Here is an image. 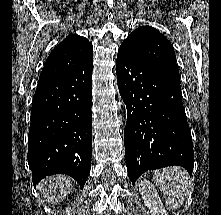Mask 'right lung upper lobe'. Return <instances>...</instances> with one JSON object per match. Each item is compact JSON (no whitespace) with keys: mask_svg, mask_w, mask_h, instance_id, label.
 I'll return each instance as SVG.
<instances>
[{"mask_svg":"<svg viewBox=\"0 0 221 215\" xmlns=\"http://www.w3.org/2000/svg\"><path fill=\"white\" fill-rule=\"evenodd\" d=\"M93 58V47L79 35H69L50 53L42 69L38 84L63 77Z\"/></svg>","mask_w":221,"mask_h":215,"instance_id":"obj_1","label":"right lung upper lobe"}]
</instances>
